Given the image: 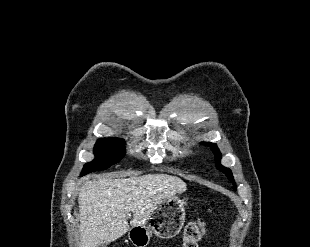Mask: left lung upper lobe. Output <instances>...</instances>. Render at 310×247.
I'll list each match as a JSON object with an SVG mask.
<instances>
[{"label": "left lung upper lobe", "instance_id": "5c2ea615", "mask_svg": "<svg viewBox=\"0 0 310 247\" xmlns=\"http://www.w3.org/2000/svg\"><path fill=\"white\" fill-rule=\"evenodd\" d=\"M203 144L206 145V146H209L211 148V150L213 151V153L215 154V160H216V167H217V169L220 170L221 172H223L228 177V179L233 184H235V181L233 179V175L231 173V170L228 169V168L223 167L220 164L221 153L219 152L217 145L213 144V143H208V142H203ZM234 189H235V187H234Z\"/></svg>", "mask_w": 310, "mask_h": 247}]
</instances>
